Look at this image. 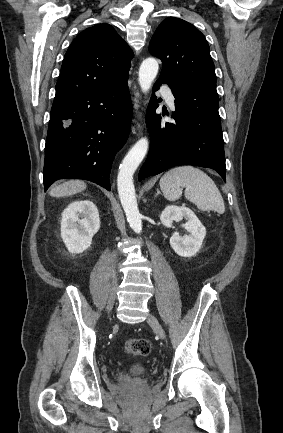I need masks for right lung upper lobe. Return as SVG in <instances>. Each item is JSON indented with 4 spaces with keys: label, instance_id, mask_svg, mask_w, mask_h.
Here are the masks:
<instances>
[{
    "label": "right lung upper lobe",
    "instance_id": "1",
    "mask_svg": "<svg viewBox=\"0 0 283 433\" xmlns=\"http://www.w3.org/2000/svg\"><path fill=\"white\" fill-rule=\"evenodd\" d=\"M132 50L106 23L82 31L68 48L55 100L113 88L128 77Z\"/></svg>",
    "mask_w": 283,
    "mask_h": 433
}]
</instances>
